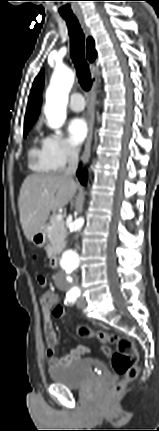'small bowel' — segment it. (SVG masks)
Wrapping results in <instances>:
<instances>
[{
  "label": "small bowel",
  "instance_id": "1",
  "mask_svg": "<svg viewBox=\"0 0 159 431\" xmlns=\"http://www.w3.org/2000/svg\"><path fill=\"white\" fill-rule=\"evenodd\" d=\"M38 282L42 287H47L48 281L45 276H39ZM49 290H45L40 296V305L43 313V321H44V331L45 338L47 342V350L46 354L48 356V366L50 368H58L67 366L76 360L80 359L84 354L89 352V348L85 345H80L73 348L66 356L62 358H58L55 356L56 346L58 344V335L54 329L52 315L54 314L53 309L55 307H49L47 303ZM56 301L54 304L59 301L58 296L56 295Z\"/></svg>",
  "mask_w": 159,
  "mask_h": 431
}]
</instances>
